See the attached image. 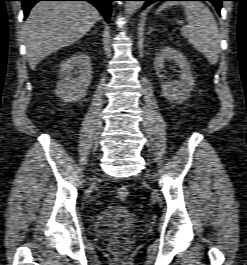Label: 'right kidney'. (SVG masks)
Instances as JSON below:
<instances>
[{"instance_id": "obj_1", "label": "right kidney", "mask_w": 247, "mask_h": 265, "mask_svg": "<svg viewBox=\"0 0 247 265\" xmlns=\"http://www.w3.org/2000/svg\"><path fill=\"white\" fill-rule=\"evenodd\" d=\"M91 70L90 57L84 53L74 54L63 61L60 64V80L57 83L56 95L64 102L82 99L91 84Z\"/></svg>"}]
</instances>
